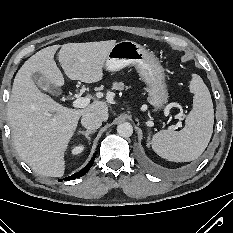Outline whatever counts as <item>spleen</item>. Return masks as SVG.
<instances>
[{
  "label": "spleen",
  "mask_w": 233,
  "mask_h": 233,
  "mask_svg": "<svg viewBox=\"0 0 233 233\" xmlns=\"http://www.w3.org/2000/svg\"><path fill=\"white\" fill-rule=\"evenodd\" d=\"M189 89L194 94L193 108L186 117L185 127L179 132L161 130L151 141L155 153L169 161L189 162L198 158L212 136L214 109L210 92L197 74H192Z\"/></svg>",
  "instance_id": "spleen-1"
}]
</instances>
